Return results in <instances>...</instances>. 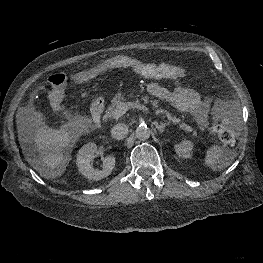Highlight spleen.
Wrapping results in <instances>:
<instances>
[{
    "label": "spleen",
    "instance_id": "1",
    "mask_svg": "<svg viewBox=\"0 0 263 263\" xmlns=\"http://www.w3.org/2000/svg\"><path fill=\"white\" fill-rule=\"evenodd\" d=\"M233 157L230 150L223 148L219 144H214L206 151L204 159L205 166L216 170H222L230 165Z\"/></svg>",
    "mask_w": 263,
    "mask_h": 263
}]
</instances>
